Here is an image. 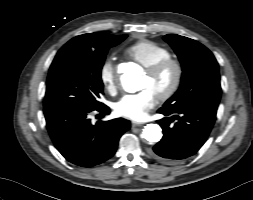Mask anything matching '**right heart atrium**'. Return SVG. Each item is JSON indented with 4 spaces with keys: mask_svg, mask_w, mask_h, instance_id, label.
I'll return each mask as SVG.
<instances>
[{
    "mask_svg": "<svg viewBox=\"0 0 253 200\" xmlns=\"http://www.w3.org/2000/svg\"><path fill=\"white\" fill-rule=\"evenodd\" d=\"M100 80L109 93H115L118 87V67L111 58L103 61L100 71Z\"/></svg>",
    "mask_w": 253,
    "mask_h": 200,
    "instance_id": "obj_1",
    "label": "right heart atrium"
}]
</instances>
